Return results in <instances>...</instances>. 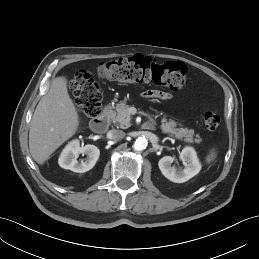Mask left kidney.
<instances>
[{"instance_id":"1","label":"left kidney","mask_w":259,"mask_h":259,"mask_svg":"<svg viewBox=\"0 0 259 259\" xmlns=\"http://www.w3.org/2000/svg\"><path fill=\"white\" fill-rule=\"evenodd\" d=\"M180 159L183 161L184 169H176L171 164L175 160L174 157L164 156L158 162V166L162 174L170 181L175 183H183L194 177L201 170V164L197 154L192 147L183 148L180 153Z\"/></svg>"}]
</instances>
